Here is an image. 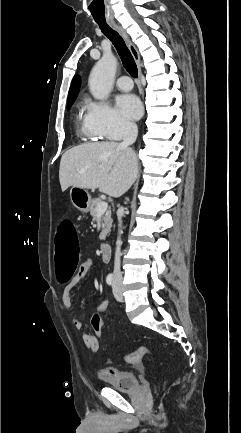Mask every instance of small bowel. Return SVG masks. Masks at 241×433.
<instances>
[{
    "mask_svg": "<svg viewBox=\"0 0 241 433\" xmlns=\"http://www.w3.org/2000/svg\"><path fill=\"white\" fill-rule=\"evenodd\" d=\"M93 262L92 260H87L84 263H82L76 272V274L73 276V278L70 280V282L65 286L63 292H62V303L66 309H70L72 306V297L75 292V290L79 287L85 276L87 275L88 271L90 270ZM107 308V301L102 298L99 300L97 304V310L99 312L104 311ZM98 315V314H97ZM100 316V315H99ZM101 317V316H100ZM72 323L76 329L82 328V321L78 318H74L72 320ZM101 325H103V320L101 318ZM93 327V326H92ZM94 329V328H93ZM82 339L88 349H90L93 352H96L99 350V342L96 336L90 333H84L82 335ZM89 342H94L95 347L92 348L89 345ZM117 370L111 369V372H116Z\"/></svg>",
    "mask_w": 241,
    "mask_h": 433,
    "instance_id": "1",
    "label": "small bowel"
}]
</instances>
